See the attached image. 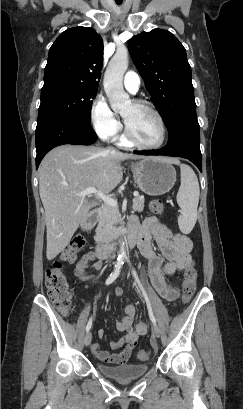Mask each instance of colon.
I'll return each instance as SVG.
<instances>
[{
	"label": "colon",
	"instance_id": "5ec220e1",
	"mask_svg": "<svg viewBox=\"0 0 243 409\" xmlns=\"http://www.w3.org/2000/svg\"><path fill=\"white\" fill-rule=\"evenodd\" d=\"M149 209L154 214L163 212L164 205L161 200H152L149 204ZM86 239L82 235L74 237L69 246L62 253V259L73 263L76 260L77 254L85 246ZM197 270L194 264H190L184 270V283L182 300L184 303L190 302L196 288ZM45 285L48 296L52 304L64 315L69 314L73 307V298L69 290L68 282L65 273L63 272L60 261H54L45 270ZM150 351L142 349L138 352L137 357L141 361H146L150 358Z\"/></svg>",
	"mask_w": 243,
	"mask_h": 409
}]
</instances>
